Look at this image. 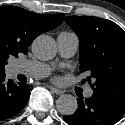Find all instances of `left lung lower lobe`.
Here are the masks:
<instances>
[{
    "label": "left lung lower lobe",
    "instance_id": "left-lung-lower-lobe-1",
    "mask_svg": "<svg viewBox=\"0 0 125 125\" xmlns=\"http://www.w3.org/2000/svg\"><path fill=\"white\" fill-rule=\"evenodd\" d=\"M78 99L76 112L63 119L69 125H114L125 114V91L93 89V95Z\"/></svg>",
    "mask_w": 125,
    "mask_h": 125
}]
</instances>
